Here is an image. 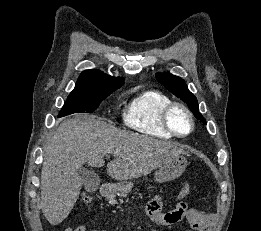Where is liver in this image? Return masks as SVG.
I'll return each mask as SVG.
<instances>
[{
  "label": "liver",
  "instance_id": "1",
  "mask_svg": "<svg viewBox=\"0 0 261 231\" xmlns=\"http://www.w3.org/2000/svg\"><path fill=\"white\" fill-rule=\"evenodd\" d=\"M181 144L119 130L95 116L63 121L45 147L41 172V209L52 225L71 212L82 188L78 169L87 163L102 167L113 154L108 175L119 181L145 176L172 158L186 154Z\"/></svg>",
  "mask_w": 261,
  "mask_h": 231
}]
</instances>
